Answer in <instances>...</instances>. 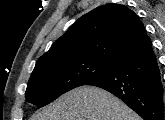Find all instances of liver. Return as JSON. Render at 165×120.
Instances as JSON below:
<instances>
[{"instance_id":"liver-1","label":"liver","mask_w":165,"mask_h":120,"mask_svg":"<svg viewBox=\"0 0 165 120\" xmlns=\"http://www.w3.org/2000/svg\"><path fill=\"white\" fill-rule=\"evenodd\" d=\"M32 120H141L120 99L94 86H82L63 94Z\"/></svg>"}]
</instances>
